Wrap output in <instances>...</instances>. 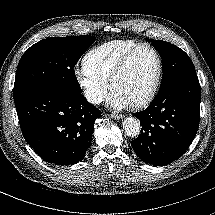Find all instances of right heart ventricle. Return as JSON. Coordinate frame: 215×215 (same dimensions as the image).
Segmentation results:
<instances>
[{"mask_svg":"<svg viewBox=\"0 0 215 215\" xmlns=\"http://www.w3.org/2000/svg\"><path fill=\"white\" fill-rule=\"evenodd\" d=\"M135 44V40L117 39L94 47L82 60L84 71L108 83L119 59Z\"/></svg>","mask_w":215,"mask_h":215,"instance_id":"right-heart-ventricle-1","label":"right heart ventricle"}]
</instances>
